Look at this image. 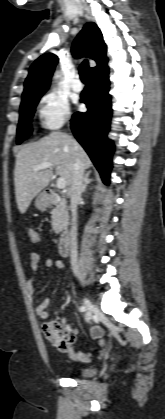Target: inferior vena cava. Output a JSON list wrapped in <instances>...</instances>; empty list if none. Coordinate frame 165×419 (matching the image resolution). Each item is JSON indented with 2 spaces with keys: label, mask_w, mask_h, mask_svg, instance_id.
I'll list each match as a JSON object with an SVG mask.
<instances>
[{
  "label": "inferior vena cava",
  "mask_w": 165,
  "mask_h": 419,
  "mask_svg": "<svg viewBox=\"0 0 165 419\" xmlns=\"http://www.w3.org/2000/svg\"><path fill=\"white\" fill-rule=\"evenodd\" d=\"M84 183V168L78 158L73 164L72 181L69 188L70 207L72 212V227L70 239V259L74 272L78 270V252H77V205L81 198Z\"/></svg>",
  "instance_id": "602c4592"
}]
</instances>
